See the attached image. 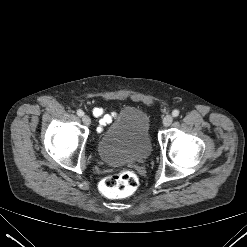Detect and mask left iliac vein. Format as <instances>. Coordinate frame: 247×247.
Masks as SVG:
<instances>
[{
    "mask_svg": "<svg viewBox=\"0 0 247 247\" xmlns=\"http://www.w3.org/2000/svg\"><path fill=\"white\" fill-rule=\"evenodd\" d=\"M172 122H173V117L171 115H167L163 119V125L166 127L170 126L172 124Z\"/></svg>",
    "mask_w": 247,
    "mask_h": 247,
    "instance_id": "4c4485c4",
    "label": "left iliac vein"
}]
</instances>
